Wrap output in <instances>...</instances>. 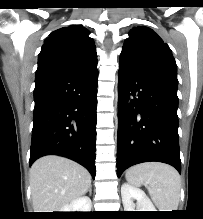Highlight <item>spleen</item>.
Segmentation results:
<instances>
[{
  "mask_svg": "<svg viewBox=\"0 0 203 219\" xmlns=\"http://www.w3.org/2000/svg\"><path fill=\"white\" fill-rule=\"evenodd\" d=\"M126 180L134 186L148 185L159 211L177 210L180 199V175L167 164L149 162L135 165L126 172Z\"/></svg>",
  "mask_w": 203,
  "mask_h": 219,
  "instance_id": "obj_1",
  "label": "spleen"
}]
</instances>
